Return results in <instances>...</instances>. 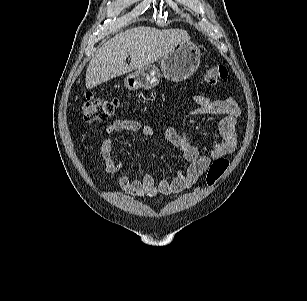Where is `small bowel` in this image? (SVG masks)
<instances>
[{"mask_svg": "<svg viewBox=\"0 0 307 301\" xmlns=\"http://www.w3.org/2000/svg\"><path fill=\"white\" fill-rule=\"evenodd\" d=\"M196 104L190 116L196 115H222L218 123L220 139L208 144H193L185 130L172 127L163 132L164 138L171 143L186 161L173 179H155L152 174L143 177L130 176L124 173L125 162L114 161L112 149L115 137L121 133H135L145 138H154L155 130L137 120L124 119L112 122L105 130V136L100 142L101 155L105 161L104 170L107 174L119 173L118 184L128 195L140 197L144 195L155 196L171 195L182 192L193 186L205 173L211 162L215 159L232 154L237 147L238 138L235 130L236 119L241 113L239 104L232 98L211 99L203 93L193 96Z\"/></svg>", "mask_w": 307, "mask_h": 301, "instance_id": "c3829d8e", "label": "small bowel"}]
</instances>
